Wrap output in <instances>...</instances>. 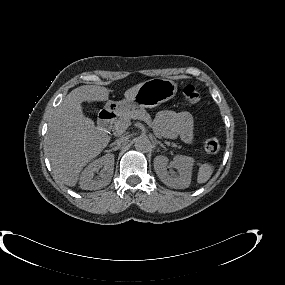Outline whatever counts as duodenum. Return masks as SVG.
<instances>
[{"mask_svg":"<svg viewBox=\"0 0 285 285\" xmlns=\"http://www.w3.org/2000/svg\"><path fill=\"white\" fill-rule=\"evenodd\" d=\"M117 116L116 110L103 111L99 116V127L101 130H109Z\"/></svg>","mask_w":285,"mask_h":285,"instance_id":"410a0bca","label":"duodenum"}]
</instances>
